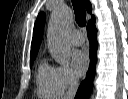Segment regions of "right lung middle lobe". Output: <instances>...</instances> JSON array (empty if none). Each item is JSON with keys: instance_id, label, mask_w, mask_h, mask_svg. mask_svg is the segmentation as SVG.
<instances>
[{"instance_id": "obj_1", "label": "right lung middle lobe", "mask_w": 128, "mask_h": 99, "mask_svg": "<svg viewBox=\"0 0 128 99\" xmlns=\"http://www.w3.org/2000/svg\"><path fill=\"white\" fill-rule=\"evenodd\" d=\"M35 58H36V56L30 57V64H31V65H32V63H33V61H34Z\"/></svg>"}]
</instances>
